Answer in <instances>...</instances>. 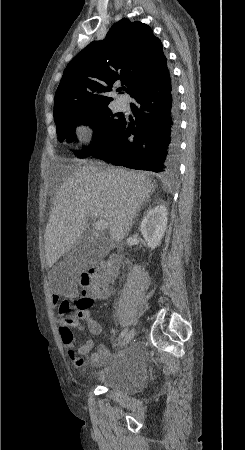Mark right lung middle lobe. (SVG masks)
I'll use <instances>...</instances> for the list:
<instances>
[{"label":"right lung middle lobe","mask_w":245,"mask_h":450,"mask_svg":"<svg viewBox=\"0 0 245 450\" xmlns=\"http://www.w3.org/2000/svg\"><path fill=\"white\" fill-rule=\"evenodd\" d=\"M54 118L57 134L61 139L67 138L70 142L76 138L75 126L77 123L88 121L95 124L96 140L90 147L77 151L78 158H86L109 146L115 140L124 121L122 114H113L107 105L79 108L72 104H66L54 108Z\"/></svg>","instance_id":"obj_1"}]
</instances>
